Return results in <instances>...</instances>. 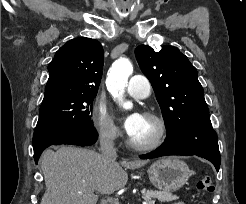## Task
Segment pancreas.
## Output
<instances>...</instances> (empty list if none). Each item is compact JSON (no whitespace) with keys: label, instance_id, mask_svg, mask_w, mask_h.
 Listing matches in <instances>:
<instances>
[{"label":"pancreas","instance_id":"1","mask_svg":"<svg viewBox=\"0 0 246 204\" xmlns=\"http://www.w3.org/2000/svg\"><path fill=\"white\" fill-rule=\"evenodd\" d=\"M142 197L146 201L154 198L158 199L160 202H170L179 199L177 195H173L171 192L156 190H144L142 191Z\"/></svg>","mask_w":246,"mask_h":204}]
</instances>
